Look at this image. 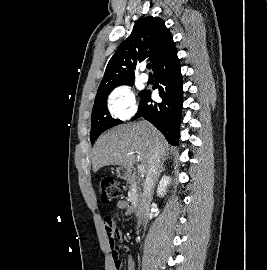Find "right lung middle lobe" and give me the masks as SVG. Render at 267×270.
Segmentation results:
<instances>
[{
    "mask_svg": "<svg viewBox=\"0 0 267 270\" xmlns=\"http://www.w3.org/2000/svg\"><path fill=\"white\" fill-rule=\"evenodd\" d=\"M133 85V81L121 84ZM119 86V85H118ZM117 86L97 92L91 118V143L105 130L112 128L122 121L113 119L107 111L106 101L108 94ZM144 91L140 92V96Z\"/></svg>",
    "mask_w": 267,
    "mask_h": 270,
    "instance_id": "obj_1",
    "label": "right lung middle lobe"
}]
</instances>
